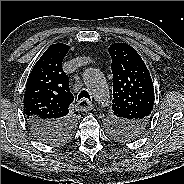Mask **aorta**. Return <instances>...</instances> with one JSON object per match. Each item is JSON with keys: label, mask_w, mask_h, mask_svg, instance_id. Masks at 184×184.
<instances>
[{"label": "aorta", "mask_w": 184, "mask_h": 184, "mask_svg": "<svg viewBox=\"0 0 184 184\" xmlns=\"http://www.w3.org/2000/svg\"><path fill=\"white\" fill-rule=\"evenodd\" d=\"M84 83L99 104L109 101V90L103 73L96 68H87L83 73Z\"/></svg>", "instance_id": "1"}]
</instances>
